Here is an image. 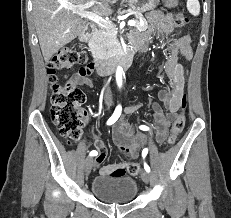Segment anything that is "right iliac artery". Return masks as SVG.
Listing matches in <instances>:
<instances>
[{
	"instance_id": "1",
	"label": "right iliac artery",
	"mask_w": 231,
	"mask_h": 218,
	"mask_svg": "<svg viewBox=\"0 0 231 218\" xmlns=\"http://www.w3.org/2000/svg\"><path fill=\"white\" fill-rule=\"evenodd\" d=\"M121 111H122V107L120 105H118L117 108L115 109L113 115L107 121V125H112L113 123H115L117 121V119L119 118ZM96 155H97L96 150H93L90 152V156H96Z\"/></svg>"
}]
</instances>
